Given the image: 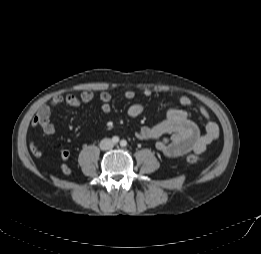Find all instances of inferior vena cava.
<instances>
[{"mask_svg": "<svg viewBox=\"0 0 261 254\" xmlns=\"http://www.w3.org/2000/svg\"><path fill=\"white\" fill-rule=\"evenodd\" d=\"M113 146H114V143L112 142L111 139H107V138H106V139L101 140V142H100V148H101L102 150L112 149Z\"/></svg>", "mask_w": 261, "mask_h": 254, "instance_id": "obj_1", "label": "inferior vena cava"}]
</instances>
